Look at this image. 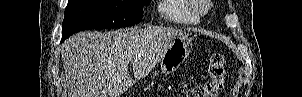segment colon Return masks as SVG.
Masks as SVG:
<instances>
[{
	"label": "colon",
	"mask_w": 302,
	"mask_h": 97,
	"mask_svg": "<svg viewBox=\"0 0 302 97\" xmlns=\"http://www.w3.org/2000/svg\"><path fill=\"white\" fill-rule=\"evenodd\" d=\"M225 63L226 57L223 53L216 52L212 54L208 66L210 79L189 90L186 97H216L224 86Z\"/></svg>",
	"instance_id": "5ec220e1"
}]
</instances>
